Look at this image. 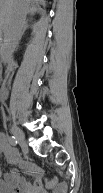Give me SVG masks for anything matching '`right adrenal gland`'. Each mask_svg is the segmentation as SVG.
Returning a JSON list of instances; mask_svg holds the SVG:
<instances>
[{
	"instance_id": "2a0ac1e0",
	"label": "right adrenal gland",
	"mask_w": 103,
	"mask_h": 193,
	"mask_svg": "<svg viewBox=\"0 0 103 193\" xmlns=\"http://www.w3.org/2000/svg\"><path fill=\"white\" fill-rule=\"evenodd\" d=\"M27 27H28V25L26 24L25 27H24V29H23V31H22V33H21V37H22V35L24 34V32H25V30L27 29ZM21 37H20V38H21Z\"/></svg>"
}]
</instances>
